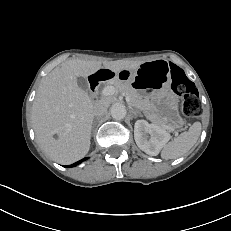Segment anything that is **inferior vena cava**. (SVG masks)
<instances>
[{"label": "inferior vena cava", "instance_id": "1", "mask_svg": "<svg viewBox=\"0 0 231 231\" xmlns=\"http://www.w3.org/2000/svg\"><path fill=\"white\" fill-rule=\"evenodd\" d=\"M108 105L102 100L97 101L94 104L93 114L94 116H102L107 112Z\"/></svg>", "mask_w": 231, "mask_h": 231}]
</instances>
